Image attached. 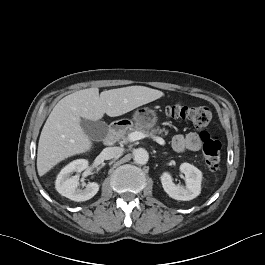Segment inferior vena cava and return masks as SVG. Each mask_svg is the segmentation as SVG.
<instances>
[{"instance_id": "obj_1", "label": "inferior vena cava", "mask_w": 265, "mask_h": 265, "mask_svg": "<svg viewBox=\"0 0 265 265\" xmlns=\"http://www.w3.org/2000/svg\"><path fill=\"white\" fill-rule=\"evenodd\" d=\"M123 149L120 147H107L103 149L101 155L104 159L109 160L119 156L122 153Z\"/></svg>"}]
</instances>
